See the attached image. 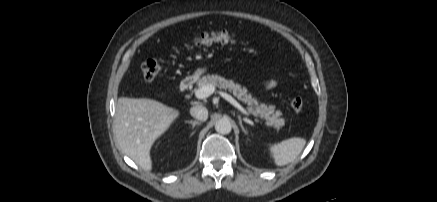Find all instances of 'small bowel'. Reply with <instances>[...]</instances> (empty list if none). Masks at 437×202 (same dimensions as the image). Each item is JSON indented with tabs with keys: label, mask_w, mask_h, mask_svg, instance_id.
<instances>
[{
	"label": "small bowel",
	"mask_w": 437,
	"mask_h": 202,
	"mask_svg": "<svg viewBox=\"0 0 437 202\" xmlns=\"http://www.w3.org/2000/svg\"><path fill=\"white\" fill-rule=\"evenodd\" d=\"M276 86H277V81L276 80L271 79V80H268V81L265 82V87L267 89H272V88H275Z\"/></svg>",
	"instance_id": "obj_1"
}]
</instances>
